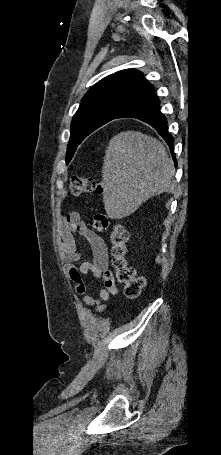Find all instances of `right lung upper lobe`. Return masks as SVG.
Returning a JSON list of instances; mask_svg holds the SVG:
<instances>
[{
	"instance_id": "cb5924a9",
	"label": "right lung upper lobe",
	"mask_w": 221,
	"mask_h": 455,
	"mask_svg": "<svg viewBox=\"0 0 221 455\" xmlns=\"http://www.w3.org/2000/svg\"><path fill=\"white\" fill-rule=\"evenodd\" d=\"M154 92L143 74L126 69L107 76L92 87L83 97L80 107L90 104H112L126 109Z\"/></svg>"
}]
</instances>
